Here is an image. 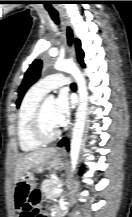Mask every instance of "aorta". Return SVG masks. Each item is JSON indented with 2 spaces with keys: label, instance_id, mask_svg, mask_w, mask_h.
<instances>
[{
  "label": "aorta",
  "instance_id": "762f6f07",
  "mask_svg": "<svg viewBox=\"0 0 132 217\" xmlns=\"http://www.w3.org/2000/svg\"><path fill=\"white\" fill-rule=\"evenodd\" d=\"M54 68L58 71H63L71 74L74 77L78 86L79 104L75 116L74 127L72 130L70 150L71 170L72 172H75L88 110V91L86 80L77 65L71 61L57 60L54 64ZM53 98V95H51L48 97L47 101H53Z\"/></svg>",
  "mask_w": 132,
  "mask_h": 217
}]
</instances>
